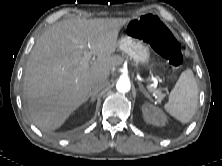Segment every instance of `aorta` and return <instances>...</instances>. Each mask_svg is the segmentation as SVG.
<instances>
[{
  "label": "aorta",
  "mask_w": 222,
  "mask_h": 166,
  "mask_svg": "<svg viewBox=\"0 0 222 166\" xmlns=\"http://www.w3.org/2000/svg\"><path fill=\"white\" fill-rule=\"evenodd\" d=\"M130 88H131V84L129 80L121 78L117 81L116 89L120 93H126L130 90Z\"/></svg>",
  "instance_id": "aorta-1"
}]
</instances>
